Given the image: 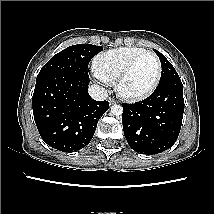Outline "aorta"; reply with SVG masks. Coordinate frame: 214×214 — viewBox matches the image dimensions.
Wrapping results in <instances>:
<instances>
[{
	"label": "aorta",
	"mask_w": 214,
	"mask_h": 214,
	"mask_svg": "<svg viewBox=\"0 0 214 214\" xmlns=\"http://www.w3.org/2000/svg\"><path fill=\"white\" fill-rule=\"evenodd\" d=\"M111 113L113 115L119 116L123 113V108L121 105L114 104L111 106Z\"/></svg>",
	"instance_id": "aorta-1"
}]
</instances>
